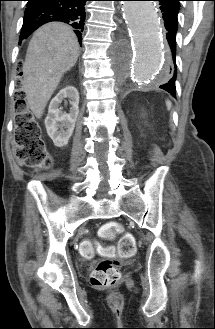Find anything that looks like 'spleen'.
I'll return each mask as SVG.
<instances>
[{
    "instance_id": "1",
    "label": "spleen",
    "mask_w": 215,
    "mask_h": 329,
    "mask_svg": "<svg viewBox=\"0 0 215 329\" xmlns=\"http://www.w3.org/2000/svg\"><path fill=\"white\" fill-rule=\"evenodd\" d=\"M166 106L168 110L171 109V102L169 100L166 101Z\"/></svg>"
}]
</instances>
